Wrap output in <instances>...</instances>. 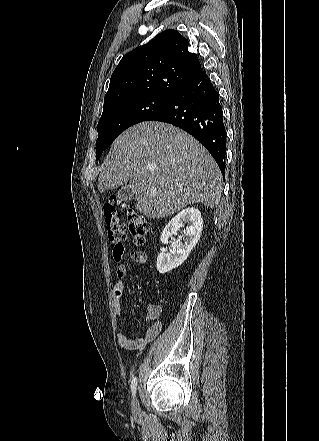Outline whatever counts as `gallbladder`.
<instances>
[{"label": "gallbladder", "instance_id": "1", "mask_svg": "<svg viewBox=\"0 0 319 441\" xmlns=\"http://www.w3.org/2000/svg\"><path fill=\"white\" fill-rule=\"evenodd\" d=\"M133 190H132V185H124L122 186L117 194V197L120 201H127L133 198Z\"/></svg>", "mask_w": 319, "mask_h": 441}]
</instances>
